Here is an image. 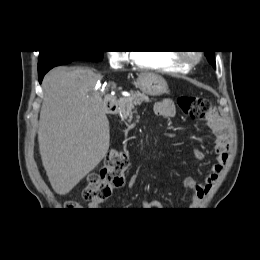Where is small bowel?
Listing matches in <instances>:
<instances>
[{"instance_id":"1","label":"small bowel","mask_w":260,"mask_h":260,"mask_svg":"<svg viewBox=\"0 0 260 260\" xmlns=\"http://www.w3.org/2000/svg\"><path fill=\"white\" fill-rule=\"evenodd\" d=\"M154 113L157 116L169 118L175 115L176 108L173 100L169 98H164L157 101L153 107ZM205 120L210 128L211 133L215 136V162L211 165L208 174L203 179V181L198 182L191 177H186L183 179V186L188 189L192 196L190 207L197 208L206 197L208 192L210 191L212 185L216 182L221 173L227 157H228V150H229V143H228V134L227 128L224 121L216 115L214 116H207ZM195 159L202 160L204 158V153L199 150L195 149L193 152ZM138 172L134 173L128 180V187H133L137 181ZM103 200H92L89 203L90 210H100L102 208ZM142 207L146 210H153L161 208V204L159 201L152 200L142 201Z\"/></svg>"}]
</instances>
